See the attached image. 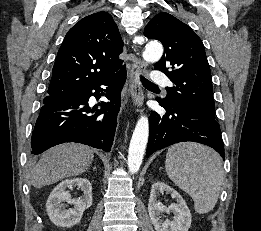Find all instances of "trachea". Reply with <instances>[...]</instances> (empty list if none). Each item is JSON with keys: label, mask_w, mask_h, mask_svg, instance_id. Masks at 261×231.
<instances>
[{"label": "trachea", "mask_w": 261, "mask_h": 231, "mask_svg": "<svg viewBox=\"0 0 261 231\" xmlns=\"http://www.w3.org/2000/svg\"><path fill=\"white\" fill-rule=\"evenodd\" d=\"M140 80L142 82L143 85L145 86H154V87H157L154 83L150 82L149 80H147L146 78L144 77H140Z\"/></svg>", "instance_id": "3493384b"}]
</instances>
